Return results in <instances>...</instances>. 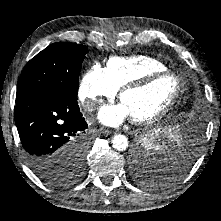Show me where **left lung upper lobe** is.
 Listing matches in <instances>:
<instances>
[{"label": "left lung upper lobe", "instance_id": "obj_1", "mask_svg": "<svg viewBox=\"0 0 221 221\" xmlns=\"http://www.w3.org/2000/svg\"><path fill=\"white\" fill-rule=\"evenodd\" d=\"M141 150H143V152H138L137 162L133 167L134 177L141 184L156 186L155 180H157L156 177L160 176V174L155 173L152 171L154 169L149 167L151 164H156V158L149 149L142 147Z\"/></svg>", "mask_w": 221, "mask_h": 221}]
</instances>
